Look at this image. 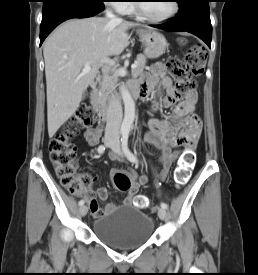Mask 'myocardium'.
I'll list each match as a JSON object with an SVG mask.
<instances>
[{"label": "myocardium", "mask_w": 258, "mask_h": 275, "mask_svg": "<svg viewBox=\"0 0 258 275\" xmlns=\"http://www.w3.org/2000/svg\"><path fill=\"white\" fill-rule=\"evenodd\" d=\"M172 3H173V10H172V12L170 14H168V15H166L164 17H160V18H155V17H152V16L148 15L146 13V11L144 10L143 5L141 3H135L134 4V8L145 19H147V20H149L151 22L159 23V22H164V21H167V20L173 18L179 12V3H178V1L177 0H173Z\"/></svg>", "instance_id": "obj_1"}]
</instances>
